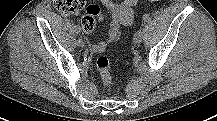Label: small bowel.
<instances>
[{"instance_id":"small-bowel-1","label":"small bowel","mask_w":217,"mask_h":121,"mask_svg":"<svg viewBox=\"0 0 217 121\" xmlns=\"http://www.w3.org/2000/svg\"><path fill=\"white\" fill-rule=\"evenodd\" d=\"M111 15L110 25L104 40L92 44L94 52H102L105 48L116 42L120 37L121 26L134 24V9L140 4V0H101Z\"/></svg>"}]
</instances>
